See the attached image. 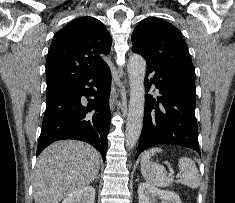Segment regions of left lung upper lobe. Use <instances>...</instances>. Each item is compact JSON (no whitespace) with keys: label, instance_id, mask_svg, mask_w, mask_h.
<instances>
[{"label":"left lung upper lobe","instance_id":"5c2ea615","mask_svg":"<svg viewBox=\"0 0 235 203\" xmlns=\"http://www.w3.org/2000/svg\"><path fill=\"white\" fill-rule=\"evenodd\" d=\"M132 51L147 62L195 80V70L179 29L156 17L138 23L132 33Z\"/></svg>","mask_w":235,"mask_h":203}]
</instances>
